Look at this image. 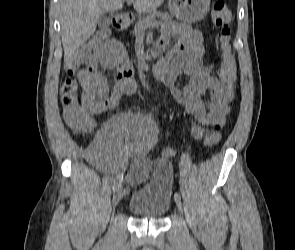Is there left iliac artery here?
I'll list each match as a JSON object with an SVG mask.
<instances>
[{
  "label": "left iliac artery",
  "mask_w": 295,
  "mask_h": 250,
  "mask_svg": "<svg viewBox=\"0 0 295 250\" xmlns=\"http://www.w3.org/2000/svg\"><path fill=\"white\" fill-rule=\"evenodd\" d=\"M174 198H175V200L176 199H181V196H180V194L178 193V192H175V194H174Z\"/></svg>",
  "instance_id": "left-iliac-artery-1"
}]
</instances>
